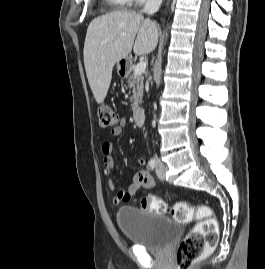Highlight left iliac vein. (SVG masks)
<instances>
[{
	"mask_svg": "<svg viewBox=\"0 0 265 269\" xmlns=\"http://www.w3.org/2000/svg\"><path fill=\"white\" fill-rule=\"evenodd\" d=\"M166 169L161 160H157L156 162V174L159 179L164 180L165 178Z\"/></svg>",
	"mask_w": 265,
	"mask_h": 269,
	"instance_id": "4c4485c4",
	"label": "left iliac vein"
}]
</instances>
